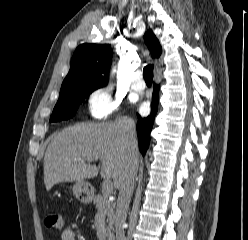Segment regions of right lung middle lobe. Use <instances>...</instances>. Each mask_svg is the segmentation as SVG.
Returning a JSON list of instances; mask_svg holds the SVG:
<instances>
[{"label":"right lung middle lobe","instance_id":"right-lung-middle-lobe-1","mask_svg":"<svg viewBox=\"0 0 248 240\" xmlns=\"http://www.w3.org/2000/svg\"><path fill=\"white\" fill-rule=\"evenodd\" d=\"M95 89L96 88L73 87L60 91L59 100L52 112L50 122L72 118L75 115L79 104H81Z\"/></svg>","mask_w":248,"mask_h":240}]
</instances>
